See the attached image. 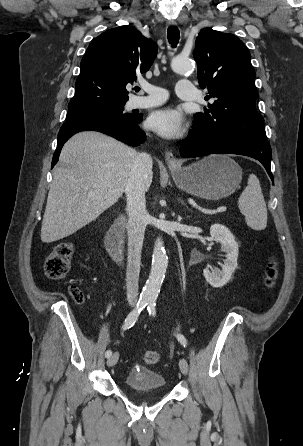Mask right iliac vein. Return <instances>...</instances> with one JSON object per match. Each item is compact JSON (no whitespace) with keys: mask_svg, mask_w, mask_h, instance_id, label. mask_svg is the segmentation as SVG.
<instances>
[{"mask_svg":"<svg viewBox=\"0 0 303 446\" xmlns=\"http://www.w3.org/2000/svg\"><path fill=\"white\" fill-rule=\"evenodd\" d=\"M118 359H119V354L116 352L108 358L107 365L109 367L114 366L117 363Z\"/></svg>","mask_w":303,"mask_h":446,"instance_id":"63e3f726","label":"right iliac vein"}]
</instances>
